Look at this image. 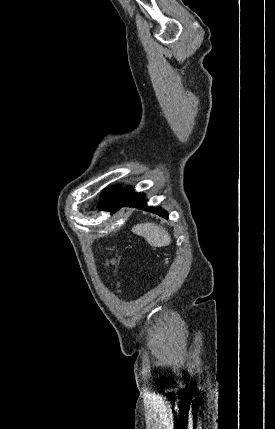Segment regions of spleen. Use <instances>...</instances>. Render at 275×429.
Instances as JSON below:
<instances>
[{
    "label": "spleen",
    "instance_id": "spleen-1",
    "mask_svg": "<svg viewBox=\"0 0 275 429\" xmlns=\"http://www.w3.org/2000/svg\"><path fill=\"white\" fill-rule=\"evenodd\" d=\"M132 232L142 236L153 247H163L171 243V237L167 230L150 222L137 224Z\"/></svg>",
    "mask_w": 275,
    "mask_h": 429
}]
</instances>
